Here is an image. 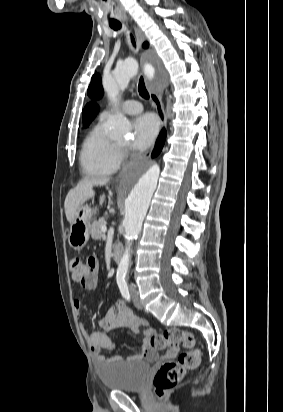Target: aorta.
Segmentation results:
<instances>
[{"mask_svg": "<svg viewBox=\"0 0 283 412\" xmlns=\"http://www.w3.org/2000/svg\"><path fill=\"white\" fill-rule=\"evenodd\" d=\"M144 72L148 78L154 77V67L150 63H145ZM136 73L137 63L130 59L120 64L112 76L103 80V88L115 106L119 103V92L128 86ZM109 123L111 138L124 137L130 132V124L120 112L115 114ZM159 173V167L152 165L128 170L123 176L121 193L125 198L124 237L127 246L117 268V277H125L128 272L131 260L130 247L133 239L141 232L143 220L157 186Z\"/></svg>", "mask_w": 283, "mask_h": 412, "instance_id": "762f6f07", "label": "aorta"}]
</instances>
